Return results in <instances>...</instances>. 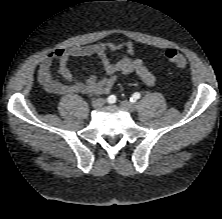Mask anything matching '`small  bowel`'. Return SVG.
Wrapping results in <instances>:
<instances>
[{
    "instance_id": "small-bowel-1",
    "label": "small bowel",
    "mask_w": 222,
    "mask_h": 219,
    "mask_svg": "<svg viewBox=\"0 0 222 219\" xmlns=\"http://www.w3.org/2000/svg\"><path fill=\"white\" fill-rule=\"evenodd\" d=\"M125 50L126 55L117 61L111 60L109 53ZM135 47L132 42H101L97 44L59 48L48 53L40 62L37 70L38 82L54 94L83 93L102 95L108 94L122 74H136L146 85L155 83L154 75L143 62L134 56ZM97 56L104 70V76L89 75L84 80H76L68 67L74 57ZM58 64V72L66 81L62 83L51 76V67Z\"/></svg>"
}]
</instances>
